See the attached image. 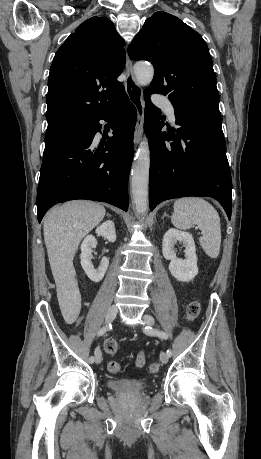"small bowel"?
I'll return each mask as SVG.
<instances>
[{
	"instance_id": "c3829d8e",
	"label": "small bowel",
	"mask_w": 261,
	"mask_h": 459,
	"mask_svg": "<svg viewBox=\"0 0 261 459\" xmlns=\"http://www.w3.org/2000/svg\"><path fill=\"white\" fill-rule=\"evenodd\" d=\"M144 362H145L144 355L140 353L136 359V364L137 366L142 367L144 365Z\"/></svg>"
}]
</instances>
